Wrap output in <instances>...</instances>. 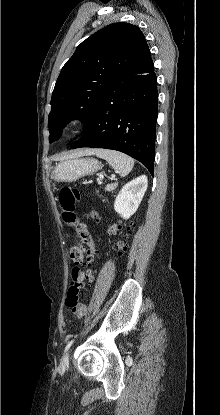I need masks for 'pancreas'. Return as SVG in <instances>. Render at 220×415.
I'll use <instances>...</instances> for the list:
<instances>
[{"label":"pancreas","instance_id":"1","mask_svg":"<svg viewBox=\"0 0 220 415\" xmlns=\"http://www.w3.org/2000/svg\"><path fill=\"white\" fill-rule=\"evenodd\" d=\"M116 187H117V183L107 184L105 190L110 192V191H113Z\"/></svg>","mask_w":220,"mask_h":415}]
</instances>
